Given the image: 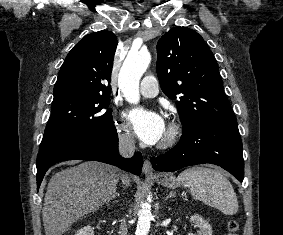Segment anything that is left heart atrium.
<instances>
[{
    "label": "left heart atrium",
    "mask_w": 283,
    "mask_h": 235,
    "mask_svg": "<svg viewBox=\"0 0 283 235\" xmlns=\"http://www.w3.org/2000/svg\"><path fill=\"white\" fill-rule=\"evenodd\" d=\"M127 117L143 142L152 145L162 140L166 125L159 114L142 108H133L127 113Z\"/></svg>",
    "instance_id": "1"
}]
</instances>
